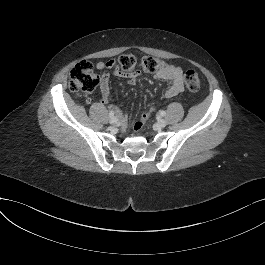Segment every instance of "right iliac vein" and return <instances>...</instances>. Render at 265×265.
I'll use <instances>...</instances> for the list:
<instances>
[{
	"label": "right iliac vein",
	"mask_w": 265,
	"mask_h": 265,
	"mask_svg": "<svg viewBox=\"0 0 265 265\" xmlns=\"http://www.w3.org/2000/svg\"><path fill=\"white\" fill-rule=\"evenodd\" d=\"M109 122L111 123V124H116L117 122H118V119L116 118V117H110V120H109Z\"/></svg>",
	"instance_id": "right-iliac-vein-1"
}]
</instances>
